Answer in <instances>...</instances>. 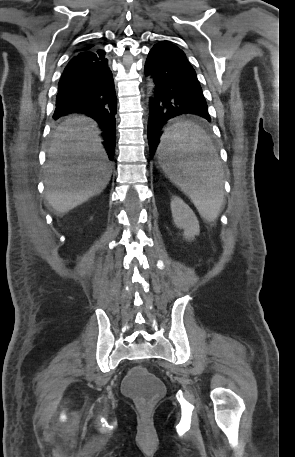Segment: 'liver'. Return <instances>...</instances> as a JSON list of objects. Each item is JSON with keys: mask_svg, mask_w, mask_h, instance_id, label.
Listing matches in <instances>:
<instances>
[{"mask_svg": "<svg viewBox=\"0 0 295 457\" xmlns=\"http://www.w3.org/2000/svg\"><path fill=\"white\" fill-rule=\"evenodd\" d=\"M97 124L84 115H70L57 128L45 166L46 199L65 214L100 194L111 177Z\"/></svg>", "mask_w": 295, "mask_h": 457, "instance_id": "liver-1", "label": "liver"}]
</instances>
